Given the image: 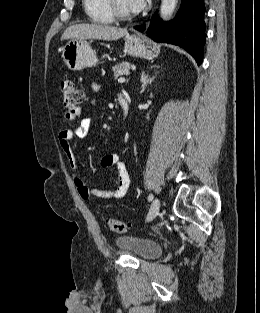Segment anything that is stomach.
<instances>
[{"instance_id":"obj_1","label":"stomach","mask_w":260,"mask_h":313,"mask_svg":"<svg viewBox=\"0 0 260 313\" xmlns=\"http://www.w3.org/2000/svg\"><path fill=\"white\" fill-rule=\"evenodd\" d=\"M124 51L129 55L153 59L159 53L156 45L140 35H129L124 44ZM62 58L68 69L81 70L96 66V52L85 40L71 39L62 48Z\"/></svg>"}]
</instances>
